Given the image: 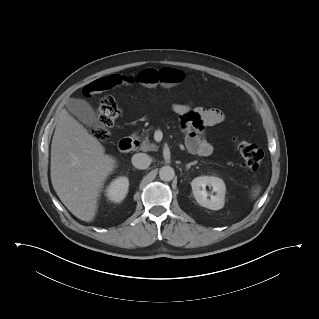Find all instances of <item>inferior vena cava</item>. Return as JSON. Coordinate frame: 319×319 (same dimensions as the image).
Segmentation results:
<instances>
[{"label": "inferior vena cava", "mask_w": 319, "mask_h": 319, "mask_svg": "<svg viewBox=\"0 0 319 319\" xmlns=\"http://www.w3.org/2000/svg\"><path fill=\"white\" fill-rule=\"evenodd\" d=\"M132 164L137 169H147L151 164V159L145 153H137L132 156Z\"/></svg>", "instance_id": "602c4592"}]
</instances>
